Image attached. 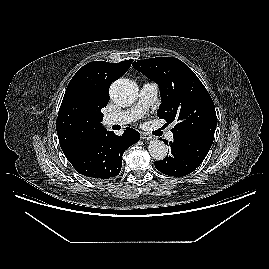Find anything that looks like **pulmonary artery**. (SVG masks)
<instances>
[{"label": "pulmonary artery", "instance_id": "e3ab8cb5", "mask_svg": "<svg viewBox=\"0 0 269 269\" xmlns=\"http://www.w3.org/2000/svg\"><path fill=\"white\" fill-rule=\"evenodd\" d=\"M158 95V85L156 83H145L141 87L139 100L131 110L107 114L104 117L106 126L126 125L137 120L145 113L156 101ZM168 140H172L173 133L169 131L166 135Z\"/></svg>", "mask_w": 269, "mask_h": 269}]
</instances>
